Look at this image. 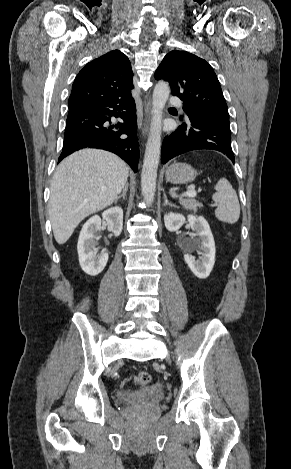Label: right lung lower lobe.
Segmentation results:
<instances>
[{
  "label": "right lung lower lobe",
  "mask_w": 291,
  "mask_h": 469,
  "mask_svg": "<svg viewBox=\"0 0 291 469\" xmlns=\"http://www.w3.org/2000/svg\"><path fill=\"white\" fill-rule=\"evenodd\" d=\"M123 120L113 124L111 118ZM136 105L133 97H110L94 100L69 109L60 162L83 148L113 152L137 172L139 144L137 141Z\"/></svg>",
  "instance_id": "obj_1"
}]
</instances>
